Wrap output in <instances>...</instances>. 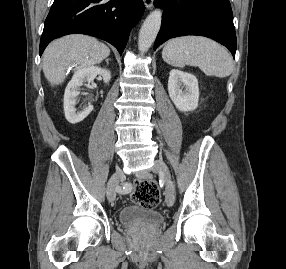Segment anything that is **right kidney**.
Wrapping results in <instances>:
<instances>
[{"label": "right kidney", "instance_id": "obj_1", "mask_svg": "<svg viewBox=\"0 0 286 269\" xmlns=\"http://www.w3.org/2000/svg\"><path fill=\"white\" fill-rule=\"evenodd\" d=\"M97 75H101L105 83H108L111 79V73L109 70L90 66L75 72L71 81L68 83L64 94V112L67 121L71 124L81 122L92 112L93 105L90 103L80 112H76L75 105L80 93V86H82L84 82L91 83Z\"/></svg>", "mask_w": 286, "mask_h": 269}]
</instances>
